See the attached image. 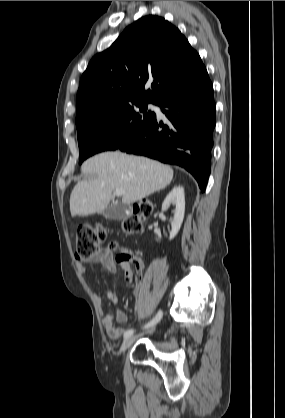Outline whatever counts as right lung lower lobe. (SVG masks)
Masks as SVG:
<instances>
[{
    "mask_svg": "<svg viewBox=\"0 0 285 418\" xmlns=\"http://www.w3.org/2000/svg\"><path fill=\"white\" fill-rule=\"evenodd\" d=\"M156 105L171 124L164 125L154 117L140 133L117 149L179 165L195 177L204 191L210 175L216 124L213 85L207 71Z\"/></svg>",
    "mask_w": 285,
    "mask_h": 418,
    "instance_id": "1",
    "label": "right lung lower lobe"
}]
</instances>
